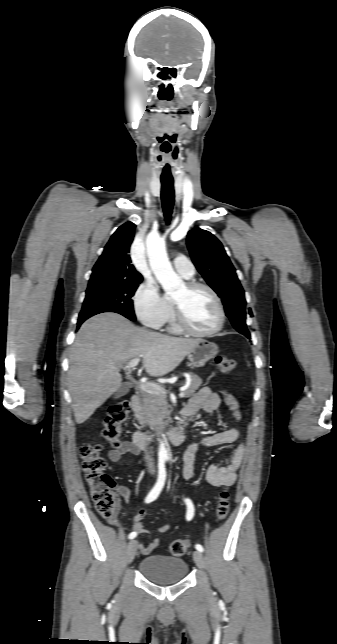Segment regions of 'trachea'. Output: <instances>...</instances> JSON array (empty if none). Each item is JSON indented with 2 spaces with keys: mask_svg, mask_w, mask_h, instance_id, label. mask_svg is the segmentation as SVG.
I'll list each match as a JSON object with an SVG mask.
<instances>
[{
  "mask_svg": "<svg viewBox=\"0 0 337 644\" xmlns=\"http://www.w3.org/2000/svg\"><path fill=\"white\" fill-rule=\"evenodd\" d=\"M161 200L165 220L169 223L174 205V182L172 180H161Z\"/></svg>",
  "mask_w": 337,
  "mask_h": 644,
  "instance_id": "obj_1",
  "label": "trachea"
}]
</instances>
